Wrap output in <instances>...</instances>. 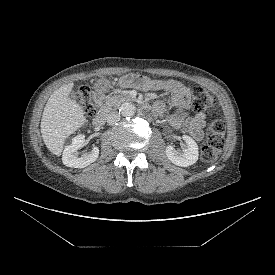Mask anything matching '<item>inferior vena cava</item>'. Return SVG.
Returning <instances> with one entry per match:
<instances>
[{
	"instance_id": "inferior-vena-cava-1",
	"label": "inferior vena cava",
	"mask_w": 275,
	"mask_h": 275,
	"mask_svg": "<svg viewBox=\"0 0 275 275\" xmlns=\"http://www.w3.org/2000/svg\"><path fill=\"white\" fill-rule=\"evenodd\" d=\"M120 120V113L117 111H112L107 115V123L112 125Z\"/></svg>"
}]
</instances>
